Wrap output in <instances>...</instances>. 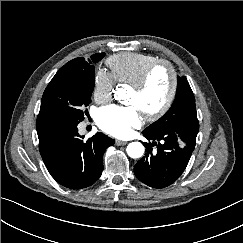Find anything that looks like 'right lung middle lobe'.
<instances>
[{"mask_svg":"<svg viewBox=\"0 0 243 243\" xmlns=\"http://www.w3.org/2000/svg\"><path fill=\"white\" fill-rule=\"evenodd\" d=\"M104 55L95 54L92 61L96 63ZM94 85L92 65L85 70L59 69L44 91L37 120L79 123L84 119L82 108L91 102Z\"/></svg>","mask_w":243,"mask_h":243,"instance_id":"1","label":"right lung middle lobe"}]
</instances>
